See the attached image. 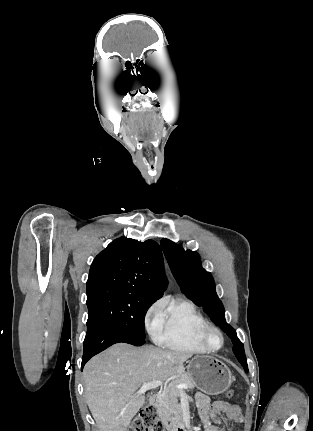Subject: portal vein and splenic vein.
<instances>
[{"label":"portal vein and splenic vein","instance_id":"obj_1","mask_svg":"<svg viewBox=\"0 0 313 431\" xmlns=\"http://www.w3.org/2000/svg\"><path fill=\"white\" fill-rule=\"evenodd\" d=\"M162 384H163V382L160 380H155V381L143 384L141 386V388L138 390L137 395L144 394L148 390L156 389V388L160 387ZM173 385L179 389H187L188 388V386L186 384H173ZM180 394L183 395L184 392L181 391Z\"/></svg>","mask_w":313,"mask_h":431}]
</instances>
